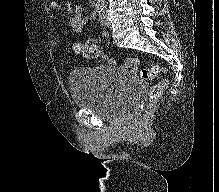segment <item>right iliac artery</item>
Here are the masks:
<instances>
[{"instance_id": "obj_1", "label": "right iliac artery", "mask_w": 219, "mask_h": 192, "mask_svg": "<svg viewBox=\"0 0 219 192\" xmlns=\"http://www.w3.org/2000/svg\"><path fill=\"white\" fill-rule=\"evenodd\" d=\"M104 8H105L104 4H102V3L97 4V5H96V12H97L98 14H101V12L104 10Z\"/></svg>"}]
</instances>
